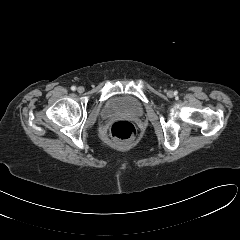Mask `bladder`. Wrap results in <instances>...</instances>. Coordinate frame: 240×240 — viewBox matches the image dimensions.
<instances>
[{
	"label": "bladder",
	"instance_id": "obj_1",
	"mask_svg": "<svg viewBox=\"0 0 240 240\" xmlns=\"http://www.w3.org/2000/svg\"><path fill=\"white\" fill-rule=\"evenodd\" d=\"M143 113V105L138 99L131 96H115L106 101L101 115L105 118L122 115L139 117Z\"/></svg>",
	"mask_w": 240,
	"mask_h": 240
}]
</instances>
